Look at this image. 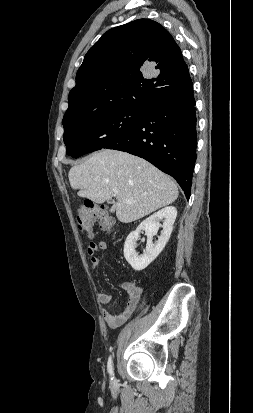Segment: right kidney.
Masks as SVG:
<instances>
[{
	"instance_id": "1",
	"label": "right kidney",
	"mask_w": 253,
	"mask_h": 413,
	"mask_svg": "<svg viewBox=\"0 0 253 413\" xmlns=\"http://www.w3.org/2000/svg\"><path fill=\"white\" fill-rule=\"evenodd\" d=\"M176 216L177 210L175 207H165L141 222L136 230L128 235L124 244V257L134 270L141 271L145 269L161 253L170 238ZM160 220H163L162 225ZM160 227L163 228L161 235L158 241L153 243V236L157 234ZM141 230H145L147 244L144 253L138 255L135 248Z\"/></svg>"
}]
</instances>
